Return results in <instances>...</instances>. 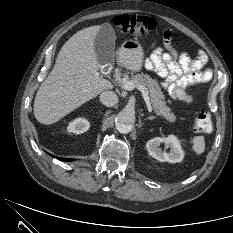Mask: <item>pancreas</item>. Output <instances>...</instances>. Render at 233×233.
I'll list each match as a JSON object with an SVG mask.
<instances>
[{
    "label": "pancreas",
    "mask_w": 233,
    "mask_h": 233,
    "mask_svg": "<svg viewBox=\"0 0 233 233\" xmlns=\"http://www.w3.org/2000/svg\"><path fill=\"white\" fill-rule=\"evenodd\" d=\"M124 79L131 81L135 87L144 86L147 88L149 92V98L156 115L163 117L171 123L176 121L175 114L171 112V109L164 101V95L157 81L152 79L149 75L143 73L136 74L131 78L125 77ZM119 84L123 86V79Z\"/></svg>",
    "instance_id": "pancreas-1"
}]
</instances>
